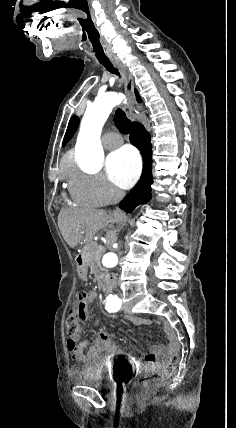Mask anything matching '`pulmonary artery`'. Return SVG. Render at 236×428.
<instances>
[{"mask_svg":"<svg viewBox=\"0 0 236 428\" xmlns=\"http://www.w3.org/2000/svg\"><path fill=\"white\" fill-rule=\"evenodd\" d=\"M110 136H117V137H118V140H117V141H118L119 143H122V142H123V139H122L121 135H120V134H118V133L111 132V133H109V134H107V135H106V137H110ZM104 146H105L106 148H108V149H113V148H116V147H117V145H115V144H113V143H108V142H105Z\"/></svg>","mask_w":236,"mask_h":428,"instance_id":"1","label":"pulmonary artery"}]
</instances>
